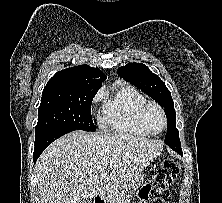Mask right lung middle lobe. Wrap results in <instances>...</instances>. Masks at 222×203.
<instances>
[{
  "instance_id": "dd1d6c3e",
  "label": "right lung middle lobe",
  "mask_w": 222,
  "mask_h": 203,
  "mask_svg": "<svg viewBox=\"0 0 222 203\" xmlns=\"http://www.w3.org/2000/svg\"><path fill=\"white\" fill-rule=\"evenodd\" d=\"M98 90L44 89L38 109L35 135L54 129L95 131L91 117V103Z\"/></svg>"
}]
</instances>
